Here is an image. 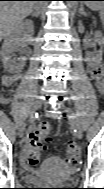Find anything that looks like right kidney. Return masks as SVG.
<instances>
[{
	"mask_svg": "<svg viewBox=\"0 0 104 189\" xmlns=\"http://www.w3.org/2000/svg\"><path fill=\"white\" fill-rule=\"evenodd\" d=\"M33 22L25 21L21 23L18 29L8 35L4 40L1 50H0V58L3 63L4 69L9 73H17L20 72L26 62V58L22 57L18 61L12 58L11 54L15 52L20 43L27 37H29L33 33Z\"/></svg>",
	"mask_w": 104,
	"mask_h": 189,
	"instance_id": "right-kidney-1",
	"label": "right kidney"
}]
</instances>
